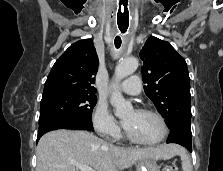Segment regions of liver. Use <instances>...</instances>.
Masks as SVG:
<instances>
[{
	"label": "liver",
	"mask_w": 223,
	"mask_h": 171,
	"mask_svg": "<svg viewBox=\"0 0 223 171\" xmlns=\"http://www.w3.org/2000/svg\"><path fill=\"white\" fill-rule=\"evenodd\" d=\"M177 147L121 148L87 131L55 130L38 142L36 171H76V163L95 171H121L147 158L168 160L177 154Z\"/></svg>",
	"instance_id": "6515ba94"
}]
</instances>
